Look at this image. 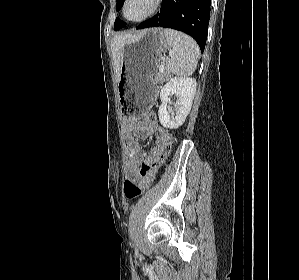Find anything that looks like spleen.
<instances>
[{"label": "spleen", "instance_id": "3e777b00", "mask_svg": "<svg viewBox=\"0 0 299 280\" xmlns=\"http://www.w3.org/2000/svg\"><path fill=\"white\" fill-rule=\"evenodd\" d=\"M164 34L172 50L171 60L168 62L170 73L180 77L192 75L200 57L197 43L188 35L172 29H165Z\"/></svg>", "mask_w": 299, "mask_h": 280}]
</instances>
